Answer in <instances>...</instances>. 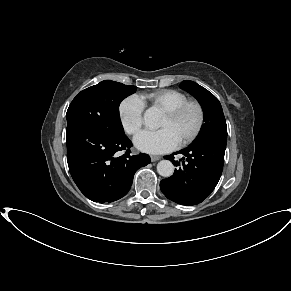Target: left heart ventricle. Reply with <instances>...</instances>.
<instances>
[{
    "instance_id": "obj_1",
    "label": "left heart ventricle",
    "mask_w": 291,
    "mask_h": 291,
    "mask_svg": "<svg viewBox=\"0 0 291 291\" xmlns=\"http://www.w3.org/2000/svg\"><path fill=\"white\" fill-rule=\"evenodd\" d=\"M197 121V110L195 108H189L176 120H171L164 115L159 123V128H168L178 142H180L194 131Z\"/></svg>"
}]
</instances>
